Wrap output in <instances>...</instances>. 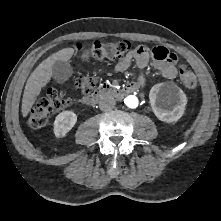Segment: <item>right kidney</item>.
<instances>
[{
  "instance_id": "right-kidney-1",
  "label": "right kidney",
  "mask_w": 221,
  "mask_h": 221,
  "mask_svg": "<svg viewBox=\"0 0 221 221\" xmlns=\"http://www.w3.org/2000/svg\"><path fill=\"white\" fill-rule=\"evenodd\" d=\"M77 122V115L72 111H63L54 121V134L56 137H64Z\"/></svg>"
}]
</instances>
